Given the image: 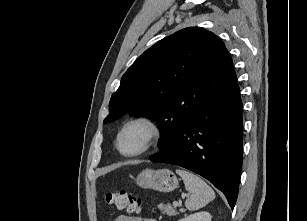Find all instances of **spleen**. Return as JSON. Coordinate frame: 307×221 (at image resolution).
Instances as JSON below:
<instances>
[{
	"label": "spleen",
	"instance_id": "obj_1",
	"mask_svg": "<svg viewBox=\"0 0 307 221\" xmlns=\"http://www.w3.org/2000/svg\"><path fill=\"white\" fill-rule=\"evenodd\" d=\"M176 173L183 179L185 189L191 193L185 201L188 210L195 211L203 208L215 198L213 189L199 176L182 169H177Z\"/></svg>",
	"mask_w": 307,
	"mask_h": 221
}]
</instances>
